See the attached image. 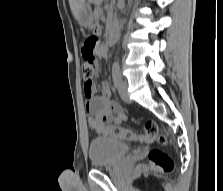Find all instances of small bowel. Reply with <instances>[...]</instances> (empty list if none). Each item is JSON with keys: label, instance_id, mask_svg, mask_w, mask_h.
<instances>
[{"label": "small bowel", "instance_id": "c3829d8e", "mask_svg": "<svg viewBox=\"0 0 223 191\" xmlns=\"http://www.w3.org/2000/svg\"><path fill=\"white\" fill-rule=\"evenodd\" d=\"M103 55V53H101ZM84 95L88 98L86 112L89 115L90 127L98 133H103L106 124H120L126 120L123 107L110 99V87L105 81L100 83V89L96 90L95 84L85 83Z\"/></svg>", "mask_w": 223, "mask_h": 191}]
</instances>
